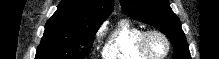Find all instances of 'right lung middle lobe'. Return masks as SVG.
Instances as JSON below:
<instances>
[{
    "label": "right lung middle lobe",
    "instance_id": "dd1d6c3e",
    "mask_svg": "<svg viewBox=\"0 0 219 59\" xmlns=\"http://www.w3.org/2000/svg\"><path fill=\"white\" fill-rule=\"evenodd\" d=\"M99 26L47 21L35 59H85Z\"/></svg>",
    "mask_w": 219,
    "mask_h": 59
}]
</instances>
